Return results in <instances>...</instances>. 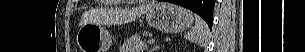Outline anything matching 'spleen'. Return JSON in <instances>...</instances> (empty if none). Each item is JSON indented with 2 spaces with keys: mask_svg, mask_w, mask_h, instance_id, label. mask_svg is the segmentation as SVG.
Listing matches in <instances>:
<instances>
[{
  "mask_svg": "<svg viewBox=\"0 0 305 52\" xmlns=\"http://www.w3.org/2000/svg\"><path fill=\"white\" fill-rule=\"evenodd\" d=\"M208 36L209 28L206 22L198 15H195V25L192 27L190 32L186 33L185 38L199 45H205Z\"/></svg>",
  "mask_w": 305,
  "mask_h": 52,
  "instance_id": "spleen-1",
  "label": "spleen"
}]
</instances>
